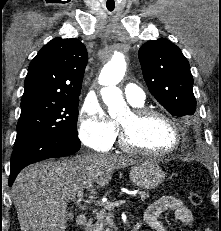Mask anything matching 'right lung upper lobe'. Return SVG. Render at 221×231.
<instances>
[{
	"instance_id": "right-lung-upper-lobe-1",
	"label": "right lung upper lobe",
	"mask_w": 221,
	"mask_h": 231,
	"mask_svg": "<svg viewBox=\"0 0 221 231\" xmlns=\"http://www.w3.org/2000/svg\"><path fill=\"white\" fill-rule=\"evenodd\" d=\"M88 54L78 39L54 38L31 61L22 100L43 97H79Z\"/></svg>"
}]
</instances>
